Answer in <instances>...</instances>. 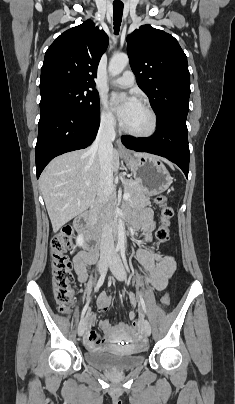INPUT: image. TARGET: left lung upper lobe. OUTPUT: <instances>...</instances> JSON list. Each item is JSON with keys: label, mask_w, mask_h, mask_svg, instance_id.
Masks as SVG:
<instances>
[{"label": "left lung upper lobe", "mask_w": 235, "mask_h": 404, "mask_svg": "<svg viewBox=\"0 0 235 404\" xmlns=\"http://www.w3.org/2000/svg\"><path fill=\"white\" fill-rule=\"evenodd\" d=\"M127 52L137 84L157 114V124L186 119L189 111L190 73L187 57L170 34L142 25L127 37Z\"/></svg>", "instance_id": "5c2ea615"}]
</instances>
